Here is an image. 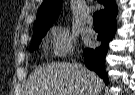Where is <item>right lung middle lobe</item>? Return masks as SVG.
<instances>
[{"label": "right lung middle lobe", "mask_w": 135, "mask_h": 95, "mask_svg": "<svg viewBox=\"0 0 135 95\" xmlns=\"http://www.w3.org/2000/svg\"><path fill=\"white\" fill-rule=\"evenodd\" d=\"M47 30L45 31H40V32H34L31 45H30V52L36 50L42 40V38L45 36Z\"/></svg>", "instance_id": "obj_1"}]
</instances>
